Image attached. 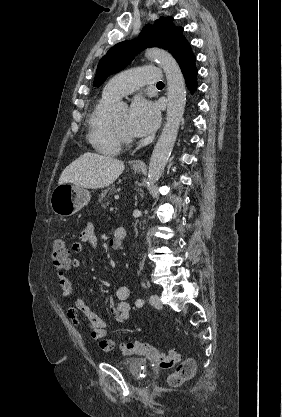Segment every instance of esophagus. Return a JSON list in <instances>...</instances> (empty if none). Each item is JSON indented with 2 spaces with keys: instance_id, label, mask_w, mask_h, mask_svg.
Returning <instances> with one entry per match:
<instances>
[{
  "instance_id": "obj_1",
  "label": "esophagus",
  "mask_w": 282,
  "mask_h": 417,
  "mask_svg": "<svg viewBox=\"0 0 282 417\" xmlns=\"http://www.w3.org/2000/svg\"><path fill=\"white\" fill-rule=\"evenodd\" d=\"M135 166H136V167H146V164H145V162H143L142 160H138V161L135 163Z\"/></svg>"
}]
</instances>
